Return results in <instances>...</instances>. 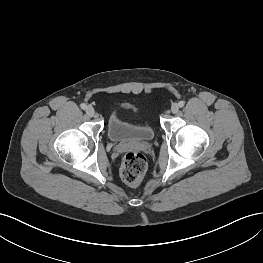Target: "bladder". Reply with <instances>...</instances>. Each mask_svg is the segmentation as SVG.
<instances>
[{
	"mask_svg": "<svg viewBox=\"0 0 263 263\" xmlns=\"http://www.w3.org/2000/svg\"><path fill=\"white\" fill-rule=\"evenodd\" d=\"M107 133L115 143L149 142L154 138L155 130L150 122L139 116L137 108L124 105L111 114Z\"/></svg>",
	"mask_w": 263,
	"mask_h": 263,
	"instance_id": "1",
	"label": "bladder"
}]
</instances>
